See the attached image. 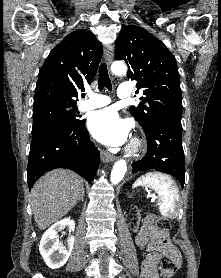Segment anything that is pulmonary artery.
<instances>
[{
	"label": "pulmonary artery",
	"instance_id": "1",
	"mask_svg": "<svg viewBox=\"0 0 221 278\" xmlns=\"http://www.w3.org/2000/svg\"><path fill=\"white\" fill-rule=\"evenodd\" d=\"M88 99L80 104L81 110H92L95 108L103 107L111 102V99L102 94L94 93L92 91L88 92ZM132 90L129 84H121L118 89V97L121 99H129L132 97Z\"/></svg>",
	"mask_w": 221,
	"mask_h": 278
}]
</instances>
